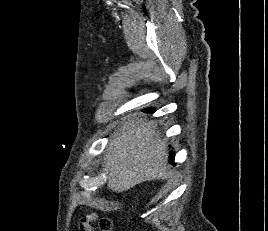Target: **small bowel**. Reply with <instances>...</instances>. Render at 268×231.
<instances>
[{
  "mask_svg": "<svg viewBox=\"0 0 268 231\" xmlns=\"http://www.w3.org/2000/svg\"><path fill=\"white\" fill-rule=\"evenodd\" d=\"M97 218L96 213H91L83 216L79 221V230L80 231H95V228L92 225V221Z\"/></svg>",
  "mask_w": 268,
  "mask_h": 231,
  "instance_id": "c3829d8e",
  "label": "small bowel"
}]
</instances>
